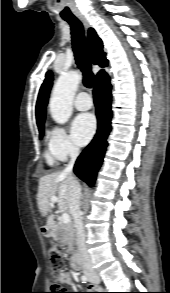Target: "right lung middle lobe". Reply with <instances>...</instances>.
Here are the masks:
<instances>
[{
	"label": "right lung middle lobe",
	"mask_w": 170,
	"mask_h": 293,
	"mask_svg": "<svg viewBox=\"0 0 170 293\" xmlns=\"http://www.w3.org/2000/svg\"><path fill=\"white\" fill-rule=\"evenodd\" d=\"M43 128H44V127H39L40 139H41L42 136H43V132H44V131H43Z\"/></svg>",
	"instance_id": "right-lung-middle-lobe-1"
}]
</instances>
